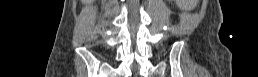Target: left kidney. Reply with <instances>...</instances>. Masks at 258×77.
<instances>
[{
	"instance_id": "1",
	"label": "left kidney",
	"mask_w": 258,
	"mask_h": 77,
	"mask_svg": "<svg viewBox=\"0 0 258 77\" xmlns=\"http://www.w3.org/2000/svg\"><path fill=\"white\" fill-rule=\"evenodd\" d=\"M178 6L182 9H191V6L194 4L195 0H175Z\"/></svg>"
}]
</instances>
